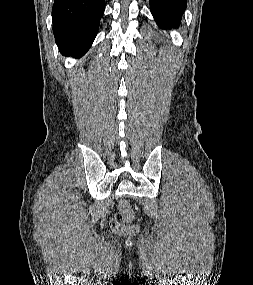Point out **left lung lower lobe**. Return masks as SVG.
Listing matches in <instances>:
<instances>
[{"mask_svg": "<svg viewBox=\"0 0 253 285\" xmlns=\"http://www.w3.org/2000/svg\"><path fill=\"white\" fill-rule=\"evenodd\" d=\"M151 12L161 28L178 27L186 0H149Z\"/></svg>", "mask_w": 253, "mask_h": 285, "instance_id": "left-lung-lower-lobe-1", "label": "left lung lower lobe"}]
</instances>
